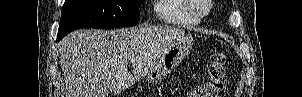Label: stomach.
I'll return each mask as SVG.
<instances>
[{
  "instance_id": "obj_1",
  "label": "stomach",
  "mask_w": 302,
  "mask_h": 97,
  "mask_svg": "<svg viewBox=\"0 0 302 97\" xmlns=\"http://www.w3.org/2000/svg\"><path fill=\"white\" fill-rule=\"evenodd\" d=\"M192 45L193 38L189 34L182 33L175 37L161 55L157 65L148 72L146 80L151 84H156L170 74L188 55Z\"/></svg>"
}]
</instances>
